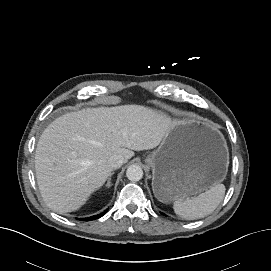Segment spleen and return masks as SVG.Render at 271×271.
<instances>
[{"instance_id": "3e777b00", "label": "spleen", "mask_w": 271, "mask_h": 271, "mask_svg": "<svg viewBox=\"0 0 271 271\" xmlns=\"http://www.w3.org/2000/svg\"><path fill=\"white\" fill-rule=\"evenodd\" d=\"M225 190L223 184L215 183L196 197L183 196L175 200L173 209L177 215L186 220L203 218L218 207L224 198Z\"/></svg>"}]
</instances>
